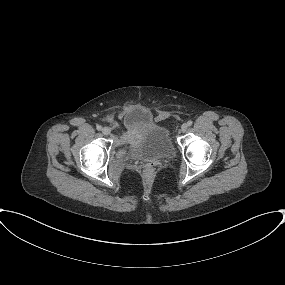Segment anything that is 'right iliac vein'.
I'll return each instance as SVG.
<instances>
[{
  "instance_id": "obj_1",
  "label": "right iliac vein",
  "mask_w": 285,
  "mask_h": 285,
  "mask_svg": "<svg viewBox=\"0 0 285 285\" xmlns=\"http://www.w3.org/2000/svg\"><path fill=\"white\" fill-rule=\"evenodd\" d=\"M102 133H103L104 135L108 136V135L111 133V130H110V128H108V127H104V128L102 129Z\"/></svg>"
}]
</instances>
